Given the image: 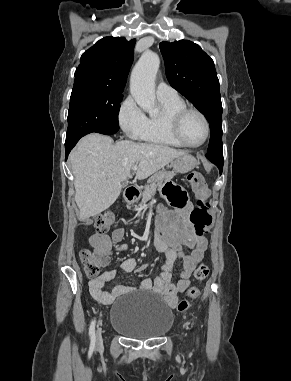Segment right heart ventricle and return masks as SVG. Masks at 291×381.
I'll use <instances>...</instances> for the list:
<instances>
[{"label": "right heart ventricle", "mask_w": 291, "mask_h": 381, "mask_svg": "<svg viewBox=\"0 0 291 381\" xmlns=\"http://www.w3.org/2000/svg\"><path fill=\"white\" fill-rule=\"evenodd\" d=\"M161 111L146 117V124L140 139L144 142L181 148L185 147L174 138L169 129V117L174 112L186 107V104L179 96L172 99L158 98Z\"/></svg>", "instance_id": "obj_1"}]
</instances>
